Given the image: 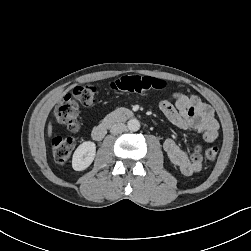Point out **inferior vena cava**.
Masks as SVG:
<instances>
[{
	"instance_id": "inferior-vena-cava-1",
	"label": "inferior vena cava",
	"mask_w": 251,
	"mask_h": 251,
	"mask_svg": "<svg viewBox=\"0 0 251 251\" xmlns=\"http://www.w3.org/2000/svg\"><path fill=\"white\" fill-rule=\"evenodd\" d=\"M127 127L124 123H115L112 125L110 132L112 134H119L126 131Z\"/></svg>"
}]
</instances>
